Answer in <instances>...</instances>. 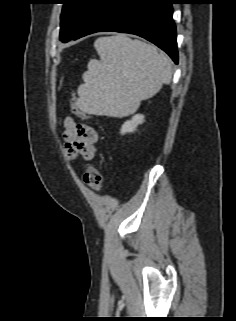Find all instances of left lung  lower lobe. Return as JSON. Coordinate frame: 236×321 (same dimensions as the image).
<instances>
[{"label": "left lung lower lobe", "instance_id": "obj_1", "mask_svg": "<svg viewBox=\"0 0 236 321\" xmlns=\"http://www.w3.org/2000/svg\"><path fill=\"white\" fill-rule=\"evenodd\" d=\"M175 3L176 0H100L71 40L100 31L135 34L160 47L177 64L176 26L172 19Z\"/></svg>", "mask_w": 236, "mask_h": 321}]
</instances>
